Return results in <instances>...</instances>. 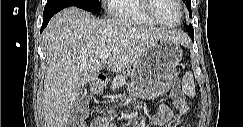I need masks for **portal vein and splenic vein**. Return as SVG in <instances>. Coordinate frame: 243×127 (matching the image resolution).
<instances>
[{"mask_svg":"<svg viewBox=\"0 0 243 127\" xmlns=\"http://www.w3.org/2000/svg\"><path fill=\"white\" fill-rule=\"evenodd\" d=\"M109 55H110V51L106 50L100 54V58L102 60H106L109 57Z\"/></svg>","mask_w":243,"mask_h":127,"instance_id":"18ae733b","label":"portal vein and splenic vein"}]
</instances>
